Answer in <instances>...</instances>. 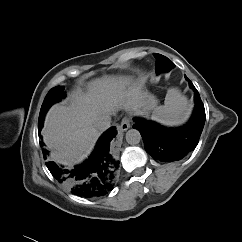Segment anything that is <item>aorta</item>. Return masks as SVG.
Wrapping results in <instances>:
<instances>
[{
	"mask_svg": "<svg viewBox=\"0 0 242 242\" xmlns=\"http://www.w3.org/2000/svg\"><path fill=\"white\" fill-rule=\"evenodd\" d=\"M126 142L130 145H137L140 143L142 137L138 130L136 129H130L126 132L125 135Z\"/></svg>",
	"mask_w": 242,
	"mask_h": 242,
	"instance_id": "1",
	"label": "aorta"
}]
</instances>
